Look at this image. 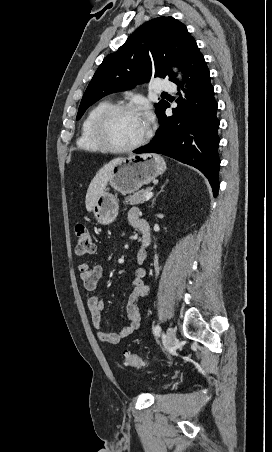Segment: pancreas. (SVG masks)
<instances>
[{
    "mask_svg": "<svg viewBox=\"0 0 272 452\" xmlns=\"http://www.w3.org/2000/svg\"><path fill=\"white\" fill-rule=\"evenodd\" d=\"M152 188L147 187L146 189L140 190L138 192H135L133 195H129L125 198V202L129 203L130 205H137L144 202V199L146 195L151 192Z\"/></svg>",
    "mask_w": 272,
    "mask_h": 452,
    "instance_id": "pancreas-1",
    "label": "pancreas"
}]
</instances>
